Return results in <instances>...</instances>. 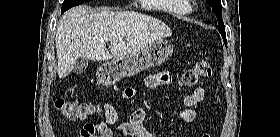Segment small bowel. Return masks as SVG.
Masks as SVG:
<instances>
[{
  "instance_id": "small-bowel-1",
  "label": "small bowel",
  "mask_w": 280,
  "mask_h": 137,
  "mask_svg": "<svg viewBox=\"0 0 280 137\" xmlns=\"http://www.w3.org/2000/svg\"><path fill=\"white\" fill-rule=\"evenodd\" d=\"M172 83V76L169 72L162 71L149 74L145 78V85L148 88L168 86ZM133 90H128V96L133 94ZM206 97V91L203 87H196L193 92L182 99L185 107L178 118L185 123L196 119L198 109ZM105 120L99 123L87 122L80 131L79 137H114L115 130L120 131L127 137H156L150 133L144 126L146 111L144 107L136 108L130 115V122L118 124V114L110 105L104 106Z\"/></svg>"
}]
</instances>
